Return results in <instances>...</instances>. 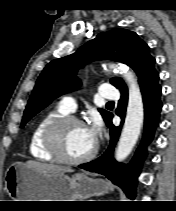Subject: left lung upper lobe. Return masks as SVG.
<instances>
[{
  "label": "left lung upper lobe",
  "mask_w": 176,
  "mask_h": 211,
  "mask_svg": "<svg viewBox=\"0 0 176 211\" xmlns=\"http://www.w3.org/2000/svg\"><path fill=\"white\" fill-rule=\"evenodd\" d=\"M102 59L128 64L138 75L140 85L158 75L154 67L155 59L149 54L148 45L135 32L115 29L100 33L75 53L53 60L44 68L26 106L21 127L52 100L80 86L76 77L79 68ZM110 82L121 92L127 91L121 78H112ZM99 111L107 122L112 114L103 109Z\"/></svg>",
  "instance_id": "1"
}]
</instances>
